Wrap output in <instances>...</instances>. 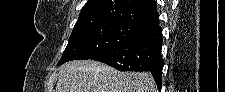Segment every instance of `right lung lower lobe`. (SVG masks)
I'll return each mask as SVG.
<instances>
[{
  "label": "right lung lower lobe",
  "mask_w": 225,
  "mask_h": 92,
  "mask_svg": "<svg viewBox=\"0 0 225 92\" xmlns=\"http://www.w3.org/2000/svg\"><path fill=\"white\" fill-rule=\"evenodd\" d=\"M162 37L160 27L151 29L135 39L106 50L91 59L103 62L119 71H149L160 89L163 68Z\"/></svg>",
  "instance_id": "1"
}]
</instances>
